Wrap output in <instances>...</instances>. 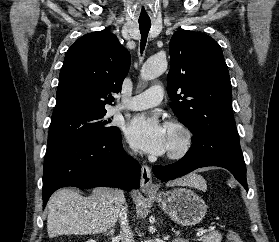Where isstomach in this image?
<instances>
[{
	"label": "stomach",
	"mask_w": 279,
	"mask_h": 242,
	"mask_svg": "<svg viewBox=\"0 0 279 242\" xmlns=\"http://www.w3.org/2000/svg\"><path fill=\"white\" fill-rule=\"evenodd\" d=\"M149 196L173 221L184 226L198 224L207 211L204 200L187 187L149 194Z\"/></svg>",
	"instance_id": "1"
}]
</instances>
